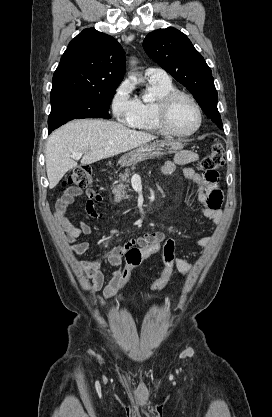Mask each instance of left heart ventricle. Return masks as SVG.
<instances>
[{
    "label": "left heart ventricle",
    "instance_id": "left-heart-ventricle-1",
    "mask_svg": "<svg viewBox=\"0 0 272 417\" xmlns=\"http://www.w3.org/2000/svg\"><path fill=\"white\" fill-rule=\"evenodd\" d=\"M198 115L193 104L187 99H179L170 113V124L176 131L189 132L197 124Z\"/></svg>",
    "mask_w": 272,
    "mask_h": 417
}]
</instances>
